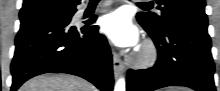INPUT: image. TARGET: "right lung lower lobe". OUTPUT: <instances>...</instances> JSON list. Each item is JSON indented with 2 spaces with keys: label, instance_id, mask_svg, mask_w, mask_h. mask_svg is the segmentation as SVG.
Listing matches in <instances>:
<instances>
[{
  "label": "right lung lower lobe",
  "instance_id": "98d812e1",
  "mask_svg": "<svg viewBox=\"0 0 220 91\" xmlns=\"http://www.w3.org/2000/svg\"><path fill=\"white\" fill-rule=\"evenodd\" d=\"M80 4V3H79ZM76 8L21 18L11 64L16 91L28 79L43 73L80 76L102 91H112V56L98 26L71 24Z\"/></svg>",
  "mask_w": 220,
  "mask_h": 91
}]
</instances>
